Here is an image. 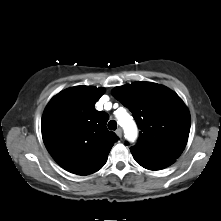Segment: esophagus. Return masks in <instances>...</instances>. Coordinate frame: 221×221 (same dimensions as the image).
Here are the masks:
<instances>
[{
	"label": "esophagus",
	"mask_w": 221,
	"mask_h": 221,
	"mask_svg": "<svg viewBox=\"0 0 221 221\" xmlns=\"http://www.w3.org/2000/svg\"><path fill=\"white\" fill-rule=\"evenodd\" d=\"M116 135L119 137V138H122V129L121 128H118L116 130Z\"/></svg>",
	"instance_id": "1"
}]
</instances>
